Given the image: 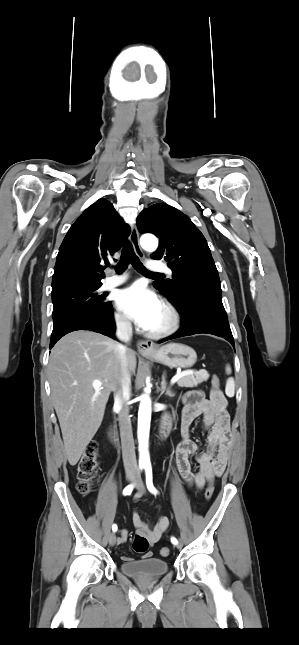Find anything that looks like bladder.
I'll return each mask as SVG.
<instances>
[{"label":"bladder","instance_id":"1","mask_svg":"<svg viewBox=\"0 0 299 645\" xmlns=\"http://www.w3.org/2000/svg\"><path fill=\"white\" fill-rule=\"evenodd\" d=\"M168 570V562L157 557L128 560L120 564V571L124 575L138 579L160 577L165 575Z\"/></svg>","mask_w":299,"mask_h":645}]
</instances>
